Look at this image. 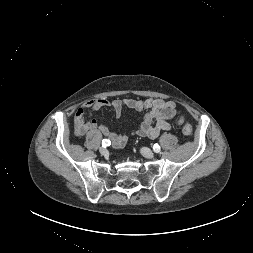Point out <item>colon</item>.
Instances as JSON below:
<instances>
[{"label": "colon", "mask_w": 253, "mask_h": 253, "mask_svg": "<svg viewBox=\"0 0 253 253\" xmlns=\"http://www.w3.org/2000/svg\"><path fill=\"white\" fill-rule=\"evenodd\" d=\"M182 132L186 136L192 135V132H193L192 126L189 123H185L183 125Z\"/></svg>", "instance_id": "obj_1"}]
</instances>
